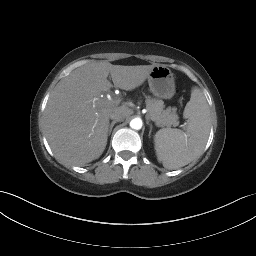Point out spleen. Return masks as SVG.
<instances>
[{"label":"spleen","mask_w":256,"mask_h":256,"mask_svg":"<svg viewBox=\"0 0 256 256\" xmlns=\"http://www.w3.org/2000/svg\"><path fill=\"white\" fill-rule=\"evenodd\" d=\"M184 117L186 132L180 129L163 128L154 137L156 156L165 168L185 166L201 155L210 131V111L200 89L194 87L186 104Z\"/></svg>","instance_id":"obj_1"}]
</instances>
